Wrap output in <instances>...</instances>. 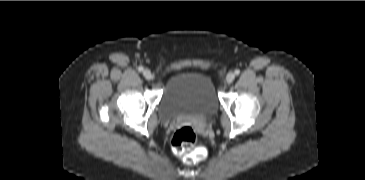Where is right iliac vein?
<instances>
[{"mask_svg": "<svg viewBox=\"0 0 365 180\" xmlns=\"http://www.w3.org/2000/svg\"><path fill=\"white\" fill-rule=\"evenodd\" d=\"M143 76L147 79V80H151L152 79V73L149 69H145L143 71Z\"/></svg>", "mask_w": 365, "mask_h": 180, "instance_id": "63e3f726", "label": "right iliac vein"}]
</instances>
